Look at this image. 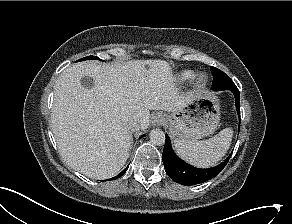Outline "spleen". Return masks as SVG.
<instances>
[{
  "label": "spleen",
  "instance_id": "3e777b00",
  "mask_svg": "<svg viewBox=\"0 0 292 224\" xmlns=\"http://www.w3.org/2000/svg\"><path fill=\"white\" fill-rule=\"evenodd\" d=\"M233 130L225 128L214 137L203 141L175 139L177 153L188 163L208 168L222 159L230 148Z\"/></svg>",
  "mask_w": 292,
  "mask_h": 224
}]
</instances>
